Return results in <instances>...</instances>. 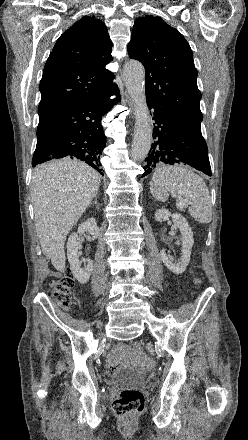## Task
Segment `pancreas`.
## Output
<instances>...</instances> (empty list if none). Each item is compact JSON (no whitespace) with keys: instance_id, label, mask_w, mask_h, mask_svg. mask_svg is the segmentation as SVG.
<instances>
[{"instance_id":"cf45deb5","label":"pancreas","mask_w":248,"mask_h":440,"mask_svg":"<svg viewBox=\"0 0 248 440\" xmlns=\"http://www.w3.org/2000/svg\"><path fill=\"white\" fill-rule=\"evenodd\" d=\"M179 207V206H178ZM179 210L184 211V207H179Z\"/></svg>"}]
</instances>
